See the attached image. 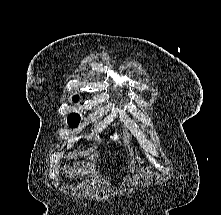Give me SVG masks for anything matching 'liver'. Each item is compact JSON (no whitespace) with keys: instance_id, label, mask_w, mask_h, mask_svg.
Masks as SVG:
<instances>
[{"instance_id":"1","label":"liver","mask_w":221,"mask_h":215,"mask_svg":"<svg viewBox=\"0 0 221 215\" xmlns=\"http://www.w3.org/2000/svg\"><path fill=\"white\" fill-rule=\"evenodd\" d=\"M89 163H85L84 161L74 163L73 167H71V172L80 174L89 172Z\"/></svg>"}]
</instances>
